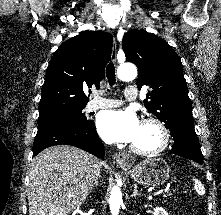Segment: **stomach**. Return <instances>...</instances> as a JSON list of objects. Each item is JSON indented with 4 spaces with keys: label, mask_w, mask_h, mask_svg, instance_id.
<instances>
[{
    "label": "stomach",
    "mask_w": 221,
    "mask_h": 215,
    "mask_svg": "<svg viewBox=\"0 0 221 215\" xmlns=\"http://www.w3.org/2000/svg\"><path fill=\"white\" fill-rule=\"evenodd\" d=\"M130 174L135 182L145 187H156L164 184L169 178L170 168L165 160L153 158L133 167Z\"/></svg>",
    "instance_id": "obj_1"
}]
</instances>
